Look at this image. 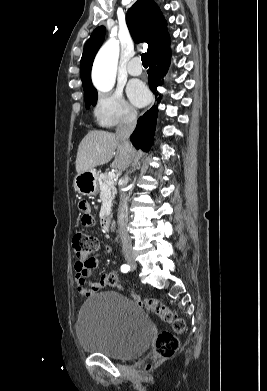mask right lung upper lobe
<instances>
[{"label": "right lung upper lobe", "instance_id": "1", "mask_svg": "<svg viewBox=\"0 0 267 391\" xmlns=\"http://www.w3.org/2000/svg\"><path fill=\"white\" fill-rule=\"evenodd\" d=\"M128 28L135 42L148 44V57L170 45L167 24L153 0H138L128 11ZM105 28H96L85 44L80 63V75L84 93L94 90L91 82V68L94 57L104 41Z\"/></svg>", "mask_w": 267, "mask_h": 391}]
</instances>
